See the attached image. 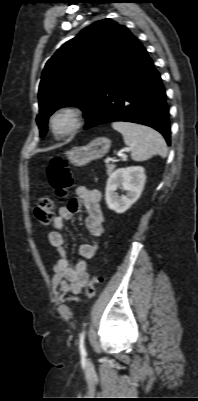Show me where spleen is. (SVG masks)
I'll list each match as a JSON object with an SVG mask.
<instances>
[{"label":"spleen","instance_id":"3e777b00","mask_svg":"<svg viewBox=\"0 0 198 401\" xmlns=\"http://www.w3.org/2000/svg\"><path fill=\"white\" fill-rule=\"evenodd\" d=\"M112 127L123 135L124 142L129 147L134 161H145L154 155L162 158L167 156L166 142L162 135L154 129L122 121L113 122Z\"/></svg>","mask_w":198,"mask_h":401}]
</instances>
